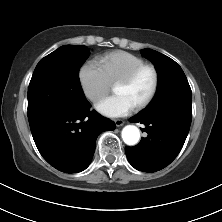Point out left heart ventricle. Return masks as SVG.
<instances>
[{"label":"left heart ventricle","mask_w":222,"mask_h":222,"mask_svg":"<svg viewBox=\"0 0 222 222\" xmlns=\"http://www.w3.org/2000/svg\"><path fill=\"white\" fill-rule=\"evenodd\" d=\"M153 86V74L150 70H144L130 85H116L115 94L126 96L137 106L150 93Z\"/></svg>","instance_id":"1"}]
</instances>
